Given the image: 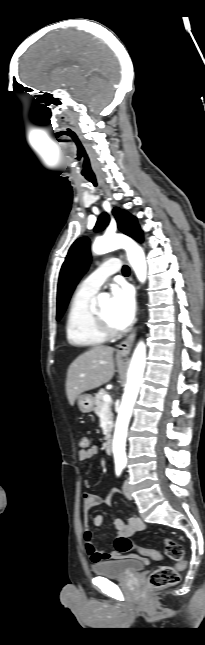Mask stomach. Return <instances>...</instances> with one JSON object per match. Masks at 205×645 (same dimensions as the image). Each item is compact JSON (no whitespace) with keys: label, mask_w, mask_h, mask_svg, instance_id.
<instances>
[{"label":"stomach","mask_w":205,"mask_h":645,"mask_svg":"<svg viewBox=\"0 0 205 645\" xmlns=\"http://www.w3.org/2000/svg\"><path fill=\"white\" fill-rule=\"evenodd\" d=\"M79 410L83 413H89L94 410L95 398L90 394H81L77 397Z\"/></svg>","instance_id":"stomach-1"}]
</instances>
